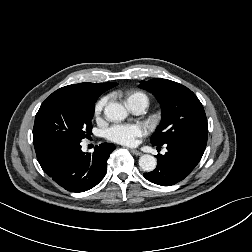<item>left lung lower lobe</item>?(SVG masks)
Here are the masks:
<instances>
[{
  "label": "left lung lower lobe",
  "mask_w": 252,
  "mask_h": 252,
  "mask_svg": "<svg viewBox=\"0 0 252 252\" xmlns=\"http://www.w3.org/2000/svg\"><path fill=\"white\" fill-rule=\"evenodd\" d=\"M207 141L185 138L167 143L165 155L158 154L155 170L144 177L161 186H171L187 177L199 163Z\"/></svg>",
  "instance_id": "obj_1"
}]
</instances>
